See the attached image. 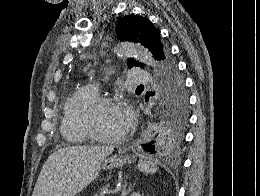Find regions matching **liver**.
I'll use <instances>...</instances> for the list:
<instances>
[{
  "mask_svg": "<svg viewBox=\"0 0 260 196\" xmlns=\"http://www.w3.org/2000/svg\"><path fill=\"white\" fill-rule=\"evenodd\" d=\"M113 146L60 148L46 160L32 196H77L99 178L101 164Z\"/></svg>",
  "mask_w": 260,
  "mask_h": 196,
  "instance_id": "1",
  "label": "liver"
}]
</instances>
